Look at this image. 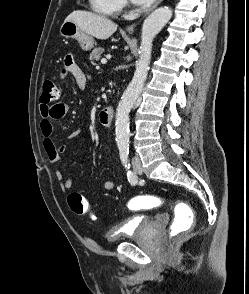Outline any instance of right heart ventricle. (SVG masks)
<instances>
[{
  "mask_svg": "<svg viewBox=\"0 0 249 294\" xmlns=\"http://www.w3.org/2000/svg\"><path fill=\"white\" fill-rule=\"evenodd\" d=\"M92 9L104 16L117 15L122 6L120 0H89Z\"/></svg>",
  "mask_w": 249,
  "mask_h": 294,
  "instance_id": "right-heart-ventricle-1",
  "label": "right heart ventricle"
}]
</instances>
